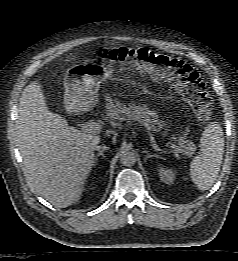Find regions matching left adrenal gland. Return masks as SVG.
I'll list each match as a JSON object with an SVG mask.
<instances>
[{"instance_id":"left-adrenal-gland-1","label":"left adrenal gland","mask_w":238,"mask_h":261,"mask_svg":"<svg viewBox=\"0 0 238 261\" xmlns=\"http://www.w3.org/2000/svg\"><path fill=\"white\" fill-rule=\"evenodd\" d=\"M143 153L146 154L145 156V161L148 159V158H152V157H157V155H152L150 154L148 151L144 150Z\"/></svg>"}]
</instances>
